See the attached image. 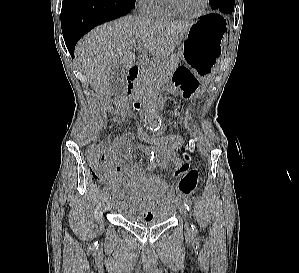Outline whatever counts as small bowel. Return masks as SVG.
<instances>
[{
	"instance_id": "obj_1",
	"label": "small bowel",
	"mask_w": 299,
	"mask_h": 273,
	"mask_svg": "<svg viewBox=\"0 0 299 273\" xmlns=\"http://www.w3.org/2000/svg\"><path fill=\"white\" fill-rule=\"evenodd\" d=\"M113 121L122 124L117 117ZM140 132L125 133L123 136L129 141L121 150L107 151L104 156L107 173L104 181L111 189L121 195L124 209L138 212L144 217H150L158 208H173L179 201L176 191L168 190L165 182L157 177L140 172L137 164L122 166L119 164L120 156H128L132 147L131 140ZM181 146L165 149H142L144 154L151 157L158 167L172 165V174L175 177L188 172L189 161L193 155V146L186 147L181 154L176 150Z\"/></svg>"
}]
</instances>
